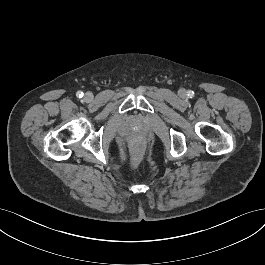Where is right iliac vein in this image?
Segmentation results:
<instances>
[{
    "label": "right iliac vein",
    "instance_id": "63e3f726",
    "mask_svg": "<svg viewBox=\"0 0 265 265\" xmlns=\"http://www.w3.org/2000/svg\"><path fill=\"white\" fill-rule=\"evenodd\" d=\"M84 98H85L86 101L90 102L93 99V95L88 92V93L85 94Z\"/></svg>",
    "mask_w": 265,
    "mask_h": 265
}]
</instances>
